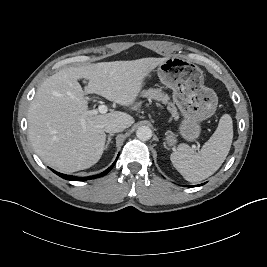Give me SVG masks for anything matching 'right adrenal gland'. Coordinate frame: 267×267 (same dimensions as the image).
Returning <instances> with one entry per match:
<instances>
[{
	"instance_id": "1",
	"label": "right adrenal gland",
	"mask_w": 267,
	"mask_h": 267,
	"mask_svg": "<svg viewBox=\"0 0 267 267\" xmlns=\"http://www.w3.org/2000/svg\"><path fill=\"white\" fill-rule=\"evenodd\" d=\"M113 136H114V134H109L108 135V139H107V142H106V145H105V150L108 149V146H109V144H110L111 139H112Z\"/></svg>"
}]
</instances>
